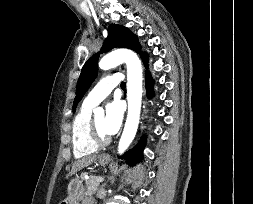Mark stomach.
Wrapping results in <instances>:
<instances>
[{
  "label": "stomach",
  "mask_w": 253,
  "mask_h": 204,
  "mask_svg": "<svg viewBox=\"0 0 253 204\" xmlns=\"http://www.w3.org/2000/svg\"><path fill=\"white\" fill-rule=\"evenodd\" d=\"M110 161V157H105L104 155L98 157V163L102 166L108 165ZM67 190V198L62 200L59 204H80V202L89 195L86 193V188L83 185V181L79 177L71 179Z\"/></svg>",
  "instance_id": "stomach-1"
}]
</instances>
